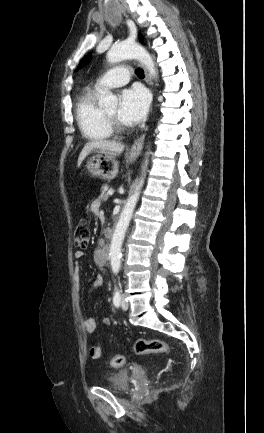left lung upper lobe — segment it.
<instances>
[{
  "label": "left lung upper lobe",
  "instance_id": "5c2ea615",
  "mask_svg": "<svg viewBox=\"0 0 264 433\" xmlns=\"http://www.w3.org/2000/svg\"><path fill=\"white\" fill-rule=\"evenodd\" d=\"M90 58H91L90 55L85 56V57L82 59V61L80 62V64H79L77 70L80 69L82 66L86 65V64L90 61Z\"/></svg>",
  "mask_w": 264,
  "mask_h": 433
}]
</instances>
